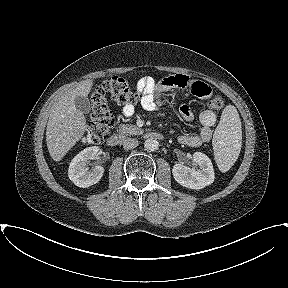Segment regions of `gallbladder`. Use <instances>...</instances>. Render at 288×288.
<instances>
[{"instance_id":"1","label":"gallbladder","mask_w":288,"mask_h":288,"mask_svg":"<svg viewBox=\"0 0 288 288\" xmlns=\"http://www.w3.org/2000/svg\"><path fill=\"white\" fill-rule=\"evenodd\" d=\"M75 106L82 113H89L90 111V101L86 96H77L75 98Z\"/></svg>"}]
</instances>
